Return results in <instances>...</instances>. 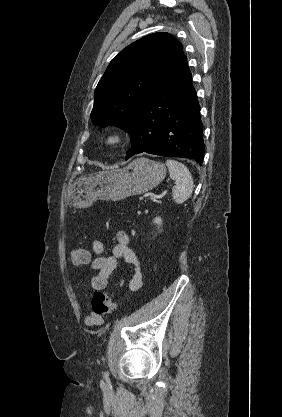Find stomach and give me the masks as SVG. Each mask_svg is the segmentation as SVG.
Wrapping results in <instances>:
<instances>
[{
    "mask_svg": "<svg viewBox=\"0 0 282 417\" xmlns=\"http://www.w3.org/2000/svg\"><path fill=\"white\" fill-rule=\"evenodd\" d=\"M163 162L145 156L135 158L125 168H108L82 176L74 182L71 204L88 209L95 200H122L132 194H143L165 178Z\"/></svg>",
    "mask_w": 282,
    "mask_h": 417,
    "instance_id": "0dacf381",
    "label": "stomach"
}]
</instances>
